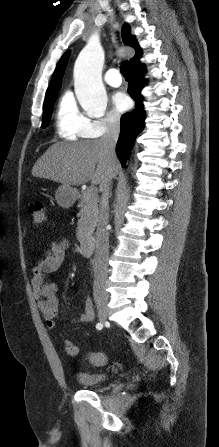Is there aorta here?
Listing matches in <instances>:
<instances>
[{
    "label": "aorta",
    "instance_id": "obj_1",
    "mask_svg": "<svg viewBox=\"0 0 219 447\" xmlns=\"http://www.w3.org/2000/svg\"><path fill=\"white\" fill-rule=\"evenodd\" d=\"M104 51L95 42H89L80 52L74 66L75 91L82 109L92 116L104 115L107 95L101 74Z\"/></svg>",
    "mask_w": 219,
    "mask_h": 447
}]
</instances>
